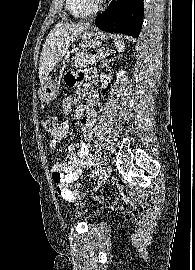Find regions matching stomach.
<instances>
[{"label": "stomach", "mask_w": 195, "mask_h": 270, "mask_svg": "<svg viewBox=\"0 0 195 270\" xmlns=\"http://www.w3.org/2000/svg\"><path fill=\"white\" fill-rule=\"evenodd\" d=\"M82 44L90 48H96L102 45L106 39V35L96 28L88 27L81 35ZM60 82L55 78H47L45 83L39 90V97L42 102L49 104L59 94Z\"/></svg>", "instance_id": "1"}]
</instances>
